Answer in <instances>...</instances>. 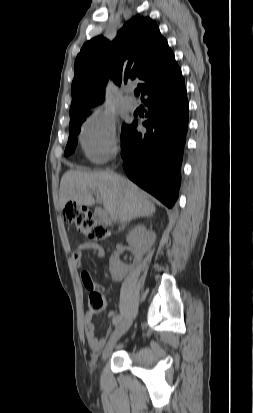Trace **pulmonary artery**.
<instances>
[{"label":"pulmonary artery","instance_id":"1","mask_svg":"<svg viewBox=\"0 0 253 413\" xmlns=\"http://www.w3.org/2000/svg\"><path fill=\"white\" fill-rule=\"evenodd\" d=\"M122 103L125 108L131 111L135 110L138 106L137 101L130 95V90L126 91V94L123 97Z\"/></svg>","mask_w":253,"mask_h":413}]
</instances>
